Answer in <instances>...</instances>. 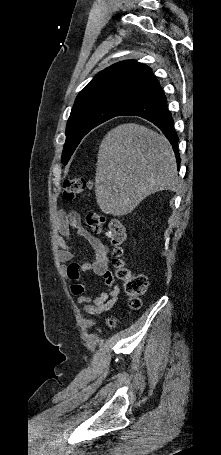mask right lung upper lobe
<instances>
[{
	"instance_id": "cb5924a9",
	"label": "right lung upper lobe",
	"mask_w": 221,
	"mask_h": 455,
	"mask_svg": "<svg viewBox=\"0 0 221 455\" xmlns=\"http://www.w3.org/2000/svg\"><path fill=\"white\" fill-rule=\"evenodd\" d=\"M157 84L151 68L134 60L122 61L99 72L78 94L73 109L111 103L125 110L149 95Z\"/></svg>"
}]
</instances>
